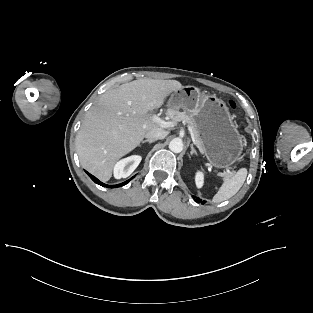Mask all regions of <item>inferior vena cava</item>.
Listing matches in <instances>:
<instances>
[{
	"instance_id": "1",
	"label": "inferior vena cava",
	"mask_w": 313,
	"mask_h": 313,
	"mask_svg": "<svg viewBox=\"0 0 313 313\" xmlns=\"http://www.w3.org/2000/svg\"><path fill=\"white\" fill-rule=\"evenodd\" d=\"M168 132L163 129H153L149 131L145 137L147 140H158V139H164L167 136Z\"/></svg>"
}]
</instances>
